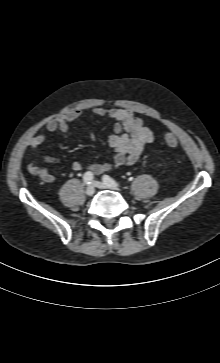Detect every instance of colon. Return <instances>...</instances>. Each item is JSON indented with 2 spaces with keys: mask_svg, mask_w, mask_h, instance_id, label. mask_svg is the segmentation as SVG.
I'll use <instances>...</instances> for the list:
<instances>
[{
  "mask_svg": "<svg viewBox=\"0 0 220 363\" xmlns=\"http://www.w3.org/2000/svg\"><path fill=\"white\" fill-rule=\"evenodd\" d=\"M164 142L169 147H176L178 144V139L173 132L168 131L164 134Z\"/></svg>",
  "mask_w": 220,
  "mask_h": 363,
  "instance_id": "5ec220e1",
  "label": "colon"
}]
</instances>
